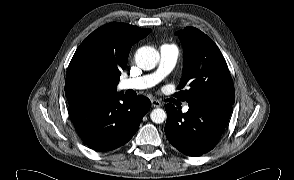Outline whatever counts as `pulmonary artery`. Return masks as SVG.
Returning <instances> with one entry per match:
<instances>
[{"label":"pulmonary artery","mask_w":294,"mask_h":180,"mask_svg":"<svg viewBox=\"0 0 294 180\" xmlns=\"http://www.w3.org/2000/svg\"><path fill=\"white\" fill-rule=\"evenodd\" d=\"M178 57V50L174 45H163L159 50V66L158 69L148 75L137 78L123 80L120 83L121 90H143L150 88L160 82L168 75L175 66ZM189 107L186 105L182 108L183 112H187Z\"/></svg>","instance_id":"1"}]
</instances>
